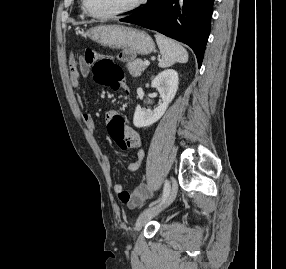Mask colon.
Wrapping results in <instances>:
<instances>
[{
  "label": "colon",
  "instance_id": "obj_1",
  "mask_svg": "<svg viewBox=\"0 0 286 269\" xmlns=\"http://www.w3.org/2000/svg\"><path fill=\"white\" fill-rule=\"evenodd\" d=\"M119 53L118 57L114 58L115 62H133L135 49H120ZM85 57L89 61H93L92 66L96 70L97 82H105L112 89H118L119 82L123 77V71L120 66L109 59H98L96 53L92 50H87ZM104 74H106V76H104ZM122 119V116H117L114 121H110L109 132L117 146L121 150H126L129 148V142L126 138L123 126H127L128 122L122 121Z\"/></svg>",
  "mask_w": 286,
  "mask_h": 269
}]
</instances>
